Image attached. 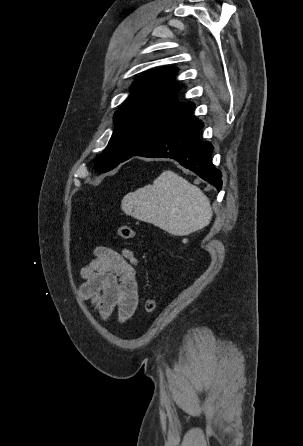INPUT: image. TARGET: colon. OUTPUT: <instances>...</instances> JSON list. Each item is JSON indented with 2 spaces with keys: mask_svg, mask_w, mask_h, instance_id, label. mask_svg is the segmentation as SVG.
I'll use <instances>...</instances> for the list:
<instances>
[{
  "mask_svg": "<svg viewBox=\"0 0 303 446\" xmlns=\"http://www.w3.org/2000/svg\"><path fill=\"white\" fill-rule=\"evenodd\" d=\"M117 235L122 240L128 241L131 240L135 232L133 228L128 225H120L117 228ZM156 309V301L153 298H148L144 303V311L146 313H152Z\"/></svg>",
  "mask_w": 303,
  "mask_h": 446,
  "instance_id": "colon-1",
  "label": "colon"
}]
</instances>
